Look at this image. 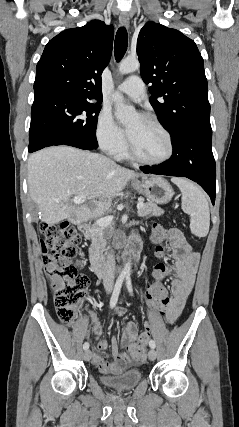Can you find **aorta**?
Here are the masks:
<instances>
[{"mask_svg":"<svg viewBox=\"0 0 239 427\" xmlns=\"http://www.w3.org/2000/svg\"><path fill=\"white\" fill-rule=\"evenodd\" d=\"M140 63L137 59H125L119 65L120 74H128L138 70ZM112 100L115 106V116L120 121L121 124H127L133 120L136 116V110L134 107L126 105L124 103V98L121 93H113ZM131 273V263L128 261L124 269L122 270L121 275L129 277Z\"/></svg>","mask_w":239,"mask_h":427,"instance_id":"762f6f07","label":"aorta"}]
</instances>
